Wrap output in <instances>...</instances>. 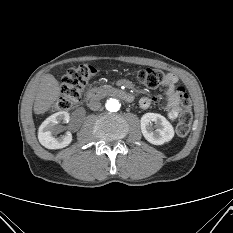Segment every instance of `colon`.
<instances>
[{
  "label": "colon",
  "mask_w": 233,
  "mask_h": 233,
  "mask_svg": "<svg viewBox=\"0 0 233 233\" xmlns=\"http://www.w3.org/2000/svg\"><path fill=\"white\" fill-rule=\"evenodd\" d=\"M95 69L91 65L82 64L70 68L63 78L61 95L57 101L58 110H68L78 104L82 99L83 90L94 77ZM139 82L147 88H156L163 82L161 71L151 68L138 70ZM182 110L179 113L177 134L185 136L192 123L191 101L183 88L178 89Z\"/></svg>",
  "instance_id": "colon-1"
}]
</instances>
